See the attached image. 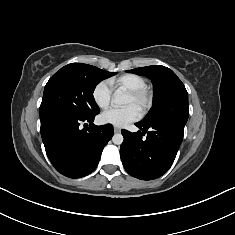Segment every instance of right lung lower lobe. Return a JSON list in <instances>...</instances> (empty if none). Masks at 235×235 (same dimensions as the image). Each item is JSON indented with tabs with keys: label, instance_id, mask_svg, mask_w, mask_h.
Instances as JSON below:
<instances>
[{
	"label": "right lung lower lobe",
	"instance_id": "right-lung-lower-lobe-1",
	"mask_svg": "<svg viewBox=\"0 0 235 235\" xmlns=\"http://www.w3.org/2000/svg\"><path fill=\"white\" fill-rule=\"evenodd\" d=\"M95 115L85 118L62 114L40 116L41 136L47 156L62 175L80 178L97 167L103 148L113 136V126L94 125ZM83 122L84 126L88 127L87 123L90 126L82 129Z\"/></svg>",
	"mask_w": 235,
	"mask_h": 235
}]
</instances>
